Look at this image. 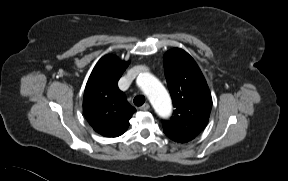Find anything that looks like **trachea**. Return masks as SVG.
Listing matches in <instances>:
<instances>
[{
  "label": "trachea",
  "mask_w": 288,
  "mask_h": 181,
  "mask_svg": "<svg viewBox=\"0 0 288 181\" xmlns=\"http://www.w3.org/2000/svg\"><path fill=\"white\" fill-rule=\"evenodd\" d=\"M133 101L136 106H141L145 102V97L142 95H139V96H136Z\"/></svg>",
  "instance_id": "1"
}]
</instances>
